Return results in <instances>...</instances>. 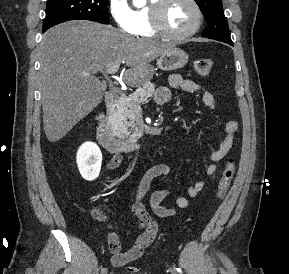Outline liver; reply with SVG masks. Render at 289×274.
Instances as JSON below:
<instances>
[{
	"label": "liver",
	"instance_id": "6515ba94",
	"mask_svg": "<svg viewBox=\"0 0 289 274\" xmlns=\"http://www.w3.org/2000/svg\"><path fill=\"white\" fill-rule=\"evenodd\" d=\"M171 49L170 44L136 39L91 21H69L46 31L39 51L47 139L59 141L101 103L104 86L95 76L98 72L124 63L130 67L123 75L124 82L141 86L153 76L150 62Z\"/></svg>",
	"mask_w": 289,
	"mask_h": 274
}]
</instances>
